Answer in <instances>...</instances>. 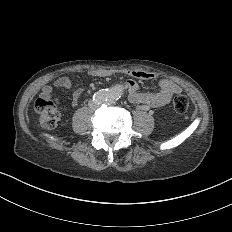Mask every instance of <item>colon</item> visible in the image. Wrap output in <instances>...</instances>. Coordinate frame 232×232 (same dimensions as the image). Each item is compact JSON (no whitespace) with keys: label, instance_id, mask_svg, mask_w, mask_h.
Listing matches in <instances>:
<instances>
[{"label":"colon","instance_id":"5ec220e1","mask_svg":"<svg viewBox=\"0 0 232 232\" xmlns=\"http://www.w3.org/2000/svg\"><path fill=\"white\" fill-rule=\"evenodd\" d=\"M55 96H38L36 101L37 113H40L44 120H40L39 124L42 129H58L61 112H56L53 108ZM174 111L176 114H186L191 110V102H189L188 94H175L173 101Z\"/></svg>","mask_w":232,"mask_h":232}]
</instances>
